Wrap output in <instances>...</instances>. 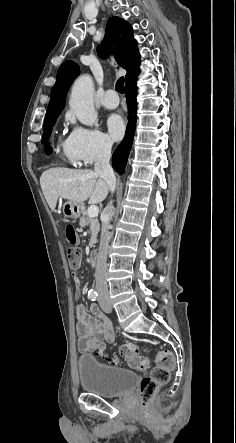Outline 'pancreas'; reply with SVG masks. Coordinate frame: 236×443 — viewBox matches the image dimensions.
I'll return each mask as SVG.
<instances>
[{"instance_id":"obj_1","label":"pancreas","mask_w":236,"mask_h":443,"mask_svg":"<svg viewBox=\"0 0 236 443\" xmlns=\"http://www.w3.org/2000/svg\"><path fill=\"white\" fill-rule=\"evenodd\" d=\"M79 224L81 227L89 226L91 231V238L89 242V246L93 247L94 244L97 242V235L99 232V221L97 217L90 218L88 216V211H83L82 216L80 217Z\"/></svg>"}]
</instances>
